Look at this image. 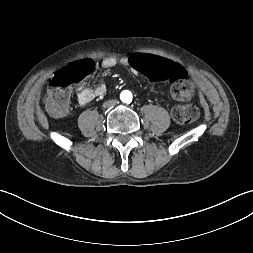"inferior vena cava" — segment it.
<instances>
[{"instance_id":"inferior-vena-cava-1","label":"inferior vena cava","mask_w":253,"mask_h":253,"mask_svg":"<svg viewBox=\"0 0 253 253\" xmlns=\"http://www.w3.org/2000/svg\"><path fill=\"white\" fill-rule=\"evenodd\" d=\"M118 103L117 100H108L106 102L103 103V107L104 108H110V107H114L116 104Z\"/></svg>"}]
</instances>
